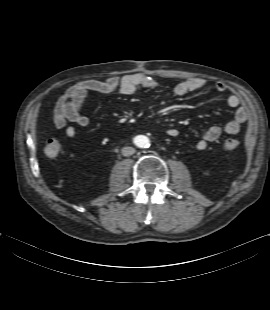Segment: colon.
Wrapping results in <instances>:
<instances>
[{
    "label": "colon",
    "instance_id": "obj_1",
    "mask_svg": "<svg viewBox=\"0 0 270 310\" xmlns=\"http://www.w3.org/2000/svg\"><path fill=\"white\" fill-rule=\"evenodd\" d=\"M239 141L236 138L228 137L223 141V149L225 151H234L238 148ZM63 147L61 142L56 139L52 138L49 139L45 145V154L49 158H56L62 153Z\"/></svg>",
    "mask_w": 270,
    "mask_h": 310
}]
</instances>
